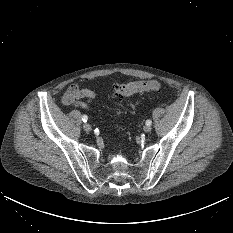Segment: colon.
I'll use <instances>...</instances> for the list:
<instances>
[{"label": "colon", "mask_w": 233, "mask_h": 233, "mask_svg": "<svg viewBox=\"0 0 233 233\" xmlns=\"http://www.w3.org/2000/svg\"><path fill=\"white\" fill-rule=\"evenodd\" d=\"M160 89L157 81H133L128 83H117L113 86V93L117 99H124L133 94L143 92H156Z\"/></svg>", "instance_id": "colon-1"}]
</instances>
